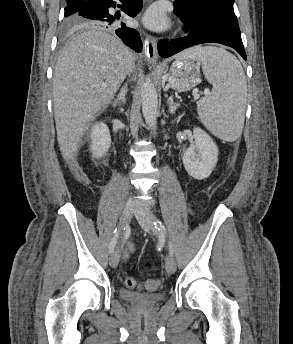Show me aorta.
Segmentation results:
<instances>
[{"instance_id":"762f6f07","label":"aorta","mask_w":293,"mask_h":344,"mask_svg":"<svg viewBox=\"0 0 293 344\" xmlns=\"http://www.w3.org/2000/svg\"><path fill=\"white\" fill-rule=\"evenodd\" d=\"M141 101L142 113L146 124L148 128L150 130H153V133L155 134L158 110V95L157 90L149 76L146 77V80L141 87Z\"/></svg>"}]
</instances>
